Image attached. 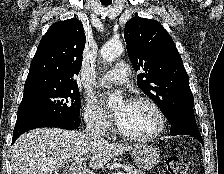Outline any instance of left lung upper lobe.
<instances>
[{
    "label": "left lung upper lobe",
    "instance_id": "5c2ea615",
    "mask_svg": "<svg viewBox=\"0 0 224 174\" xmlns=\"http://www.w3.org/2000/svg\"><path fill=\"white\" fill-rule=\"evenodd\" d=\"M128 56L136 71L138 86L167 116L180 108L194 107L189 78L181 56L167 31L155 20L135 17L124 30Z\"/></svg>",
    "mask_w": 224,
    "mask_h": 174
}]
</instances>
